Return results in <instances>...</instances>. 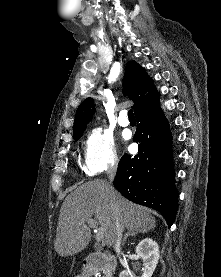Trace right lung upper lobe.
<instances>
[{"mask_svg": "<svg viewBox=\"0 0 221 277\" xmlns=\"http://www.w3.org/2000/svg\"><path fill=\"white\" fill-rule=\"evenodd\" d=\"M123 94L134 102L132 108L135 113L157 94L152 79L148 77L145 69L135 61H129L126 65ZM94 111L92 98H87L81 103L76 112L73 134L85 130Z\"/></svg>", "mask_w": 221, "mask_h": 277, "instance_id": "obj_1", "label": "right lung upper lobe"}]
</instances>
